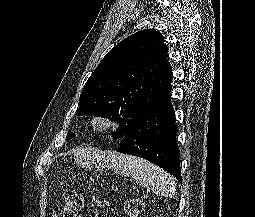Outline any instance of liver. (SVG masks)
<instances>
[{"label": "liver", "instance_id": "1", "mask_svg": "<svg viewBox=\"0 0 255 217\" xmlns=\"http://www.w3.org/2000/svg\"><path fill=\"white\" fill-rule=\"evenodd\" d=\"M94 152H92L91 150H86V149H81L79 150V156L81 157H87L88 159L91 158V156L93 155ZM114 153H108V157Z\"/></svg>", "mask_w": 255, "mask_h": 217}]
</instances>
